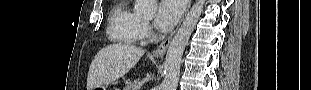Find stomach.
Returning a JSON list of instances; mask_svg holds the SVG:
<instances>
[{
	"instance_id": "0dacf381",
	"label": "stomach",
	"mask_w": 311,
	"mask_h": 90,
	"mask_svg": "<svg viewBox=\"0 0 311 90\" xmlns=\"http://www.w3.org/2000/svg\"><path fill=\"white\" fill-rule=\"evenodd\" d=\"M95 90H106V87L103 85V86L95 88Z\"/></svg>"
}]
</instances>
